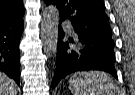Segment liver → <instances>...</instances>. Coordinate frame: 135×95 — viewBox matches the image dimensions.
<instances>
[{
  "mask_svg": "<svg viewBox=\"0 0 135 95\" xmlns=\"http://www.w3.org/2000/svg\"><path fill=\"white\" fill-rule=\"evenodd\" d=\"M0 95H17L16 83L1 72H0Z\"/></svg>",
  "mask_w": 135,
  "mask_h": 95,
  "instance_id": "obj_1",
  "label": "liver"
}]
</instances>
